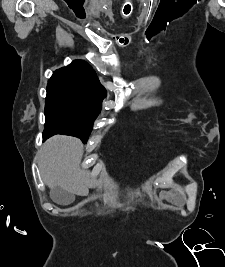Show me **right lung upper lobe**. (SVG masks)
I'll return each instance as SVG.
<instances>
[{
	"mask_svg": "<svg viewBox=\"0 0 225 267\" xmlns=\"http://www.w3.org/2000/svg\"><path fill=\"white\" fill-rule=\"evenodd\" d=\"M48 84L65 85L81 90L99 105L106 96V90L101 85L95 71L82 60H75L67 67L56 70Z\"/></svg>",
	"mask_w": 225,
	"mask_h": 267,
	"instance_id": "right-lung-upper-lobe-1",
	"label": "right lung upper lobe"
}]
</instances>
